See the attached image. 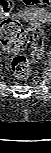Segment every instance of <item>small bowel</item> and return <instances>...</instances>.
I'll return each mask as SVG.
<instances>
[{
    "label": "small bowel",
    "mask_w": 51,
    "mask_h": 153,
    "mask_svg": "<svg viewBox=\"0 0 51 153\" xmlns=\"http://www.w3.org/2000/svg\"><path fill=\"white\" fill-rule=\"evenodd\" d=\"M1 6L4 12H9L12 8L11 2L7 0H2L1 1ZM37 22H41V19H38Z\"/></svg>",
    "instance_id": "small-bowel-1"
}]
</instances>
